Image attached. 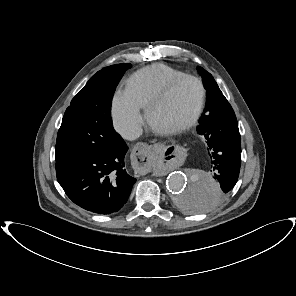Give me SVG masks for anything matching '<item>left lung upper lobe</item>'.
Listing matches in <instances>:
<instances>
[{"instance_id":"1","label":"left lung upper lobe","mask_w":296,"mask_h":296,"mask_svg":"<svg viewBox=\"0 0 296 296\" xmlns=\"http://www.w3.org/2000/svg\"><path fill=\"white\" fill-rule=\"evenodd\" d=\"M198 72L203 78V84L207 91V102L204 109V113L206 114L216 103L223 100L225 97L223 96L216 81L210 73H208L202 67H198Z\"/></svg>"}]
</instances>
